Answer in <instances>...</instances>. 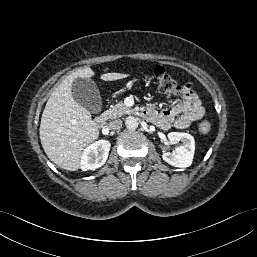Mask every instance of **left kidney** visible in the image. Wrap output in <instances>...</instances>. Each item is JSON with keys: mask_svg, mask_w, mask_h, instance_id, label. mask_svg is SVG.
I'll return each mask as SVG.
<instances>
[{"mask_svg": "<svg viewBox=\"0 0 257 257\" xmlns=\"http://www.w3.org/2000/svg\"><path fill=\"white\" fill-rule=\"evenodd\" d=\"M168 139L171 144H177L180 141L182 144L175 148L172 153H163V160L175 167L186 168L191 166L195 151L194 137L188 133L171 132L168 134Z\"/></svg>", "mask_w": 257, "mask_h": 257, "instance_id": "left-kidney-1", "label": "left kidney"}]
</instances>
